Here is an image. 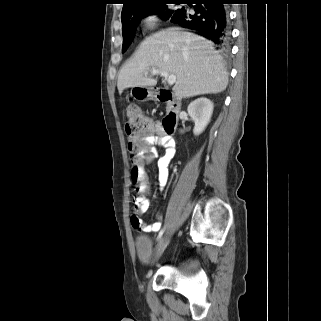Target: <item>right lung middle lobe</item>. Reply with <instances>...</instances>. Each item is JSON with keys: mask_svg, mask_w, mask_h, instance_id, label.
<instances>
[{"mask_svg": "<svg viewBox=\"0 0 321 321\" xmlns=\"http://www.w3.org/2000/svg\"><path fill=\"white\" fill-rule=\"evenodd\" d=\"M172 1H174L175 4H180L182 0L160 1L154 5L147 6L136 13L121 17L122 34H123V45H122L123 53L127 50V48L132 43L136 26L142 18H145L150 14H159V16L164 20H169L171 18L173 13L178 10V9L177 10L169 9V7L166 5Z\"/></svg>", "mask_w": 321, "mask_h": 321, "instance_id": "1", "label": "right lung middle lobe"}]
</instances>
